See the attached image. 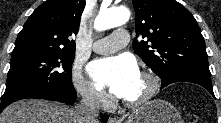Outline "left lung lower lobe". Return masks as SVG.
Segmentation results:
<instances>
[{"instance_id": "left-lung-lower-lobe-1", "label": "left lung lower lobe", "mask_w": 221, "mask_h": 123, "mask_svg": "<svg viewBox=\"0 0 221 123\" xmlns=\"http://www.w3.org/2000/svg\"><path fill=\"white\" fill-rule=\"evenodd\" d=\"M175 82H192L199 84L214 96L211 84V74H204L197 71H185L171 74L162 79L161 89Z\"/></svg>"}]
</instances>
